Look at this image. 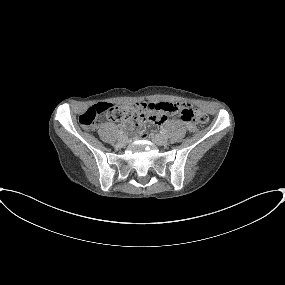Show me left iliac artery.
Listing matches in <instances>:
<instances>
[{
	"label": "left iliac artery",
	"instance_id": "44dca946",
	"mask_svg": "<svg viewBox=\"0 0 285 285\" xmlns=\"http://www.w3.org/2000/svg\"><path fill=\"white\" fill-rule=\"evenodd\" d=\"M167 133V130L165 128H162L161 134L165 135Z\"/></svg>",
	"mask_w": 285,
	"mask_h": 285
}]
</instances>
